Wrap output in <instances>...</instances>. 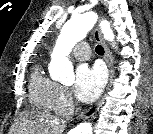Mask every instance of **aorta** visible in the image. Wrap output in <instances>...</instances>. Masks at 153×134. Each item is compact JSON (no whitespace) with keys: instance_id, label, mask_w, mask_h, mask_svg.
Segmentation results:
<instances>
[{"instance_id":"aorta-1","label":"aorta","mask_w":153,"mask_h":134,"mask_svg":"<svg viewBox=\"0 0 153 134\" xmlns=\"http://www.w3.org/2000/svg\"><path fill=\"white\" fill-rule=\"evenodd\" d=\"M95 15L87 12L73 16L62 28L57 39L54 50L51 54L50 74L62 84H72L74 82L73 65L68 59L76 43L82 40L93 28ZM104 38L113 41L114 34L108 22L102 23ZM75 134H93L89 123H83L74 130Z\"/></svg>"}]
</instances>
